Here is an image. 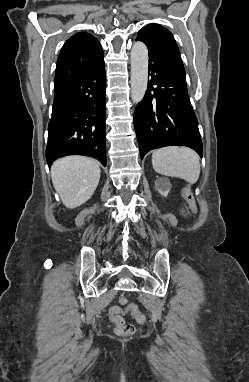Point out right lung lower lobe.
I'll list each match as a JSON object with an SVG mask.
<instances>
[{"instance_id": "1", "label": "right lung lower lobe", "mask_w": 249, "mask_h": 382, "mask_svg": "<svg viewBox=\"0 0 249 382\" xmlns=\"http://www.w3.org/2000/svg\"><path fill=\"white\" fill-rule=\"evenodd\" d=\"M105 90L102 54L94 65L54 92L46 148L48 166L67 155L94 157L106 166Z\"/></svg>"}]
</instances>
